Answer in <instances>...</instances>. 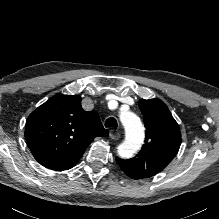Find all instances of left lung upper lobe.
<instances>
[{
  "label": "left lung upper lobe",
  "instance_id": "5c2ea615",
  "mask_svg": "<svg viewBox=\"0 0 219 219\" xmlns=\"http://www.w3.org/2000/svg\"><path fill=\"white\" fill-rule=\"evenodd\" d=\"M139 108L146 128L145 144L131 159L116 158L121 169L133 179L150 178L161 172L181 145L179 126L161 100L141 99Z\"/></svg>",
  "mask_w": 219,
  "mask_h": 219
}]
</instances>
